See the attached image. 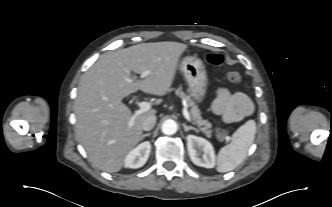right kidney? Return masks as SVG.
<instances>
[{"mask_svg": "<svg viewBox=\"0 0 332 207\" xmlns=\"http://www.w3.org/2000/svg\"><path fill=\"white\" fill-rule=\"evenodd\" d=\"M151 152V144L146 141L139 144L135 149L129 152L126 156L124 165L125 167L136 169L142 167Z\"/></svg>", "mask_w": 332, "mask_h": 207, "instance_id": "obj_1", "label": "right kidney"}]
</instances>
